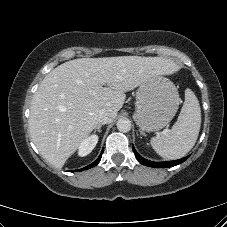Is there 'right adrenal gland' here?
Returning a JSON list of instances; mask_svg holds the SVG:
<instances>
[{
    "instance_id": "2a0ac1e0",
    "label": "right adrenal gland",
    "mask_w": 227,
    "mask_h": 227,
    "mask_svg": "<svg viewBox=\"0 0 227 227\" xmlns=\"http://www.w3.org/2000/svg\"><path fill=\"white\" fill-rule=\"evenodd\" d=\"M102 125H104V124L99 123V124L95 127V132L98 131L99 133H101V130H100V129H101Z\"/></svg>"
}]
</instances>
